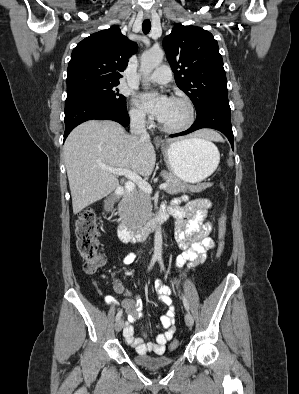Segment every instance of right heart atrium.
Returning a JSON list of instances; mask_svg holds the SVG:
<instances>
[{"instance_id":"right-heart-atrium-1","label":"right heart atrium","mask_w":299,"mask_h":394,"mask_svg":"<svg viewBox=\"0 0 299 394\" xmlns=\"http://www.w3.org/2000/svg\"><path fill=\"white\" fill-rule=\"evenodd\" d=\"M131 121L139 126H145L148 123L146 113L133 101L129 111Z\"/></svg>"}]
</instances>
